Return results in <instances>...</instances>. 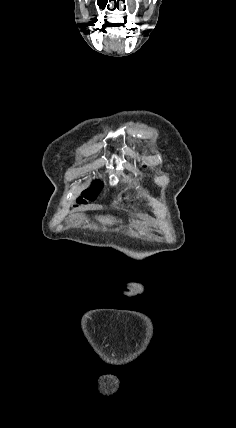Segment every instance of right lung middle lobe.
<instances>
[{"mask_svg": "<svg viewBox=\"0 0 236 428\" xmlns=\"http://www.w3.org/2000/svg\"><path fill=\"white\" fill-rule=\"evenodd\" d=\"M102 186H103V184L101 181H99V180L93 181L91 187L82 192V196L85 199L94 200L97 197L98 193L100 192ZM77 203L87 204V202L84 199H82V197H79L77 199Z\"/></svg>", "mask_w": 236, "mask_h": 428, "instance_id": "1", "label": "right lung middle lobe"}]
</instances>
